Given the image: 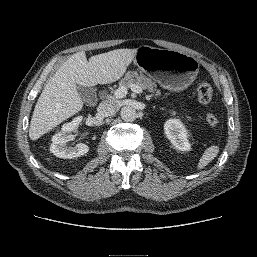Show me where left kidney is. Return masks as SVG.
<instances>
[{
  "instance_id": "1",
  "label": "left kidney",
  "mask_w": 257,
  "mask_h": 257,
  "mask_svg": "<svg viewBox=\"0 0 257 257\" xmlns=\"http://www.w3.org/2000/svg\"><path fill=\"white\" fill-rule=\"evenodd\" d=\"M164 131L172 145L181 151H189L188 132L179 119H169L164 124Z\"/></svg>"
}]
</instances>
